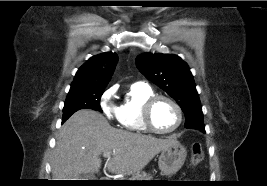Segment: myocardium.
<instances>
[{"mask_svg": "<svg viewBox=\"0 0 267 186\" xmlns=\"http://www.w3.org/2000/svg\"><path fill=\"white\" fill-rule=\"evenodd\" d=\"M160 100H165L167 102H169L170 104H172L174 106V108L177 111V122L174 125V127H172L169 130H160L158 128L155 127V125L153 124L152 121V111H153V107L154 105L160 101ZM142 121L145 125V127L156 134H171L174 133L175 131H177L180 126L182 125L183 122V111L181 106L171 97L166 96V95H162V94H154L152 96H150L143 104L142 107Z\"/></svg>", "mask_w": 267, "mask_h": 186, "instance_id": "myocardium-1", "label": "myocardium"}]
</instances>
